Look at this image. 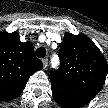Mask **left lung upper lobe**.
<instances>
[{
	"instance_id": "left-lung-upper-lobe-1",
	"label": "left lung upper lobe",
	"mask_w": 108,
	"mask_h": 108,
	"mask_svg": "<svg viewBox=\"0 0 108 108\" xmlns=\"http://www.w3.org/2000/svg\"><path fill=\"white\" fill-rule=\"evenodd\" d=\"M59 56L60 68L51 72V81L59 80L101 90L108 73V64L91 39L85 35L67 33Z\"/></svg>"
}]
</instances>
